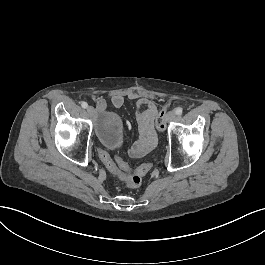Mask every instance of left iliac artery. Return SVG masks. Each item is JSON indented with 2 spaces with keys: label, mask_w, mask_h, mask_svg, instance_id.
Instances as JSON below:
<instances>
[{
  "label": "left iliac artery",
  "mask_w": 265,
  "mask_h": 265,
  "mask_svg": "<svg viewBox=\"0 0 265 265\" xmlns=\"http://www.w3.org/2000/svg\"><path fill=\"white\" fill-rule=\"evenodd\" d=\"M182 112H183V109H182L181 107H177V108L175 109V113H176L177 115H181Z\"/></svg>",
  "instance_id": "44dca946"
}]
</instances>
